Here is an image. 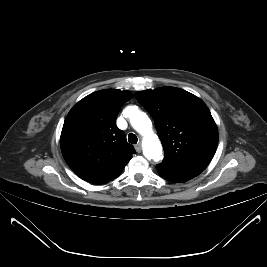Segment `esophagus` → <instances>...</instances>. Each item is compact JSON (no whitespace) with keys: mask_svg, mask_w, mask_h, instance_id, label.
Listing matches in <instances>:
<instances>
[{"mask_svg":"<svg viewBox=\"0 0 267 267\" xmlns=\"http://www.w3.org/2000/svg\"><path fill=\"white\" fill-rule=\"evenodd\" d=\"M141 144L140 143H138V144H136L135 145V150L138 152V153H140L141 152Z\"/></svg>","mask_w":267,"mask_h":267,"instance_id":"34e87169","label":"esophagus"}]
</instances>
